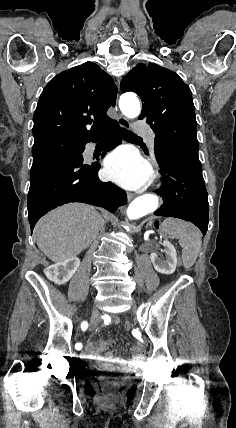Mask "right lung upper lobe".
<instances>
[{
    "instance_id": "right-lung-upper-lobe-1",
    "label": "right lung upper lobe",
    "mask_w": 236,
    "mask_h": 428,
    "mask_svg": "<svg viewBox=\"0 0 236 428\" xmlns=\"http://www.w3.org/2000/svg\"><path fill=\"white\" fill-rule=\"evenodd\" d=\"M116 95L112 77L95 63L88 61L61 72L40 95L33 116L34 144L82 140L97 133L115 121L106 111L115 105Z\"/></svg>"
}]
</instances>
